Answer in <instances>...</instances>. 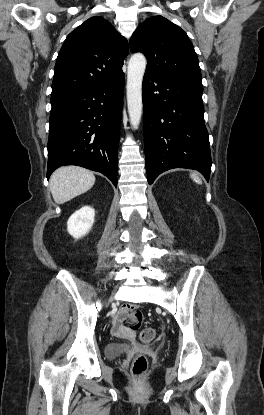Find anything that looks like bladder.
Masks as SVG:
<instances>
[{"mask_svg":"<svg viewBox=\"0 0 264 415\" xmlns=\"http://www.w3.org/2000/svg\"><path fill=\"white\" fill-rule=\"evenodd\" d=\"M145 350H150V346H143ZM134 349V345L131 343L125 344H108L105 348V355L110 359H116L122 354L131 351Z\"/></svg>","mask_w":264,"mask_h":415,"instance_id":"bladder-1","label":"bladder"}]
</instances>
